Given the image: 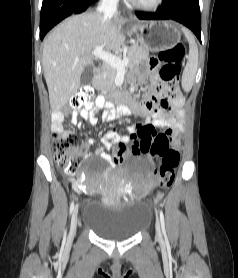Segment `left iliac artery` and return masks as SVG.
<instances>
[{"label": "left iliac artery", "instance_id": "obj_1", "mask_svg": "<svg viewBox=\"0 0 238 278\" xmlns=\"http://www.w3.org/2000/svg\"><path fill=\"white\" fill-rule=\"evenodd\" d=\"M160 221H161L162 233L164 236H166L165 220H164V214H163L162 210H160Z\"/></svg>", "mask_w": 238, "mask_h": 278}]
</instances>
